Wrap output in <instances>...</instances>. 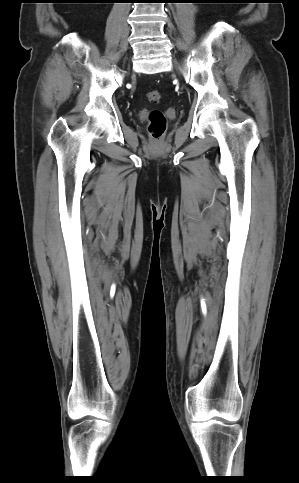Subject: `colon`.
Wrapping results in <instances>:
<instances>
[{"label": "colon", "instance_id": "1", "mask_svg": "<svg viewBox=\"0 0 299 483\" xmlns=\"http://www.w3.org/2000/svg\"><path fill=\"white\" fill-rule=\"evenodd\" d=\"M147 98L150 102H159L161 94L158 90H152L147 94ZM166 130V119L162 112L155 110L152 111L149 116L148 132L154 139H160Z\"/></svg>", "mask_w": 299, "mask_h": 483}]
</instances>
